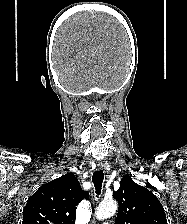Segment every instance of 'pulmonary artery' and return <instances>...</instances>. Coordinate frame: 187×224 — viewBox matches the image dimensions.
<instances>
[{"instance_id":"obj_1","label":"pulmonary artery","mask_w":187,"mask_h":224,"mask_svg":"<svg viewBox=\"0 0 187 224\" xmlns=\"http://www.w3.org/2000/svg\"><path fill=\"white\" fill-rule=\"evenodd\" d=\"M103 224H111V223H109V222H105V223H103Z\"/></svg>"}]
</instances>
